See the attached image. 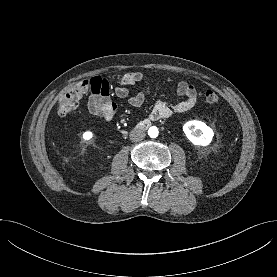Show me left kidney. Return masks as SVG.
<instances>
[{"mask_svg": "<svg viewBox=\"0 0 277 277\" xmlns=\"http://www.w3.org/2000/svg\"><path fill=\"white\" fill-rule=\"evenodd\" d=\"M183 131L188 140L196 146H207L211 143L214 131L199 120L188 121L183 126Z\"/></svg>", "mask_w": 277, "mask_h": 277, "instance_id": "left-kidney-1", "label": "left kidney"}]
</instances>
